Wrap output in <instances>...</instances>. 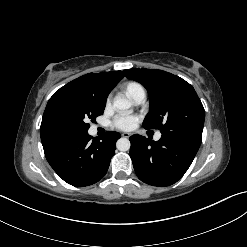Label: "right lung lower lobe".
Here are the masks:
<instances>
[{
	"mask_svg": "<svg viewBox=\"0 0 247 247\" xmlns=\"http://www.w3.org/2000/svg\"><path fill=\"white\" fill-rule=\"evenodd\" d=\"M120 134L107 132L101 138L87 133L81 138L56 141L43 146L47 161L68 184L83 187L106 174Z\"/></svg>",
	"mask_w": 247,
	"mask_h": 247,
	"instance_id": "98d812e1",
	"label": "right lung lower lobe"
}]
</instances>
